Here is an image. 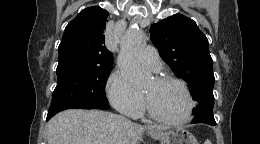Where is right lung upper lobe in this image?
Returning <instances> with one entry per match:
<instances>
[{
  "label": "right lung upper lobe",
  "mask_w": 260,
  "mask_h": 144,
  "mask_svg": "<svg viewBox=\"0 0 260 144\" xmlns=\"http://www.w3.org/2000/svg\"><path fill=\"white\" fill-rule=\"evenodd\" d=\"M108 12L93 6L83 9L65 28L59 45L57 69L112 67L113 55L104 45Z\"/></svg>",
  "instance_id": "1"
}]
</instances>
